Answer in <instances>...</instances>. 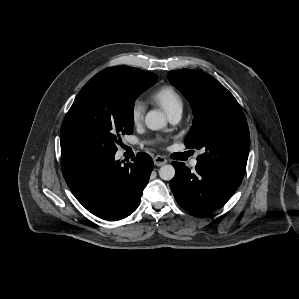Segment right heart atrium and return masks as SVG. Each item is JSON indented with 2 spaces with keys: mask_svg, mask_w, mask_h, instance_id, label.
<instances>
[{
  "mask_svg": "<svg viewBox=\"0 0 299 299\" xmlns=\"http://www.w3.org/2000/svg\"><path fill=\"white\" fill-rule=\"evenodd\" d=\"M145 104L140 99H135L130 107V119L134 125H139L143 122L145 115Z\"/></svg>",
  "mask_w": 299,
  "mask_h": 299,
  "instance_id": "1",
  "label": "right heart atrium"
}]
</instances>
